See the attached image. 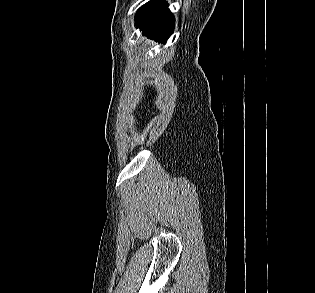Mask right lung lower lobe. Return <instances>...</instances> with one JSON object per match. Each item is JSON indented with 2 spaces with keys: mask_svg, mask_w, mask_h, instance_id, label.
Instances as JSON below:
<instances>
[{
  "mask_svg": "<svg viewBox=\"0 0 315 293\" xmlns=\"http://www.w3.org/2000/svg\"><path fill=\"white\" fill-rule=\"evenodd\" d=\"M136 26L143 34L158 41H166L174 29V17L164 0L151 1L138 10Z\"/></svg>",
  "mask_w": 315,
  "mask_h": 293,
  "instance_id": "right-lung-lower-lobe-1",
  "label": "right lung lower lobe"
}]
</instances>
